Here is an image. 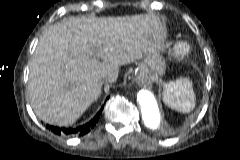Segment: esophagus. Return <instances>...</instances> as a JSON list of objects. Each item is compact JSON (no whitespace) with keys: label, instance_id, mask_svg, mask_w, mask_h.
I'll return each mask as SVG.
<instances>
[{"label":"esophagus","instance_id":"1","mask_svg":"<svg viewBox=\"0 0 240 160\" xmlns=\"http://www.w3.org/2000/svg\"><path fill=\"white\" fill-rule=\"evenodd\" d=\"M137 83L138 85L144 86V87H150L152 85L151 80L145 75L138 76Z\"/></svg>","mask_w":240,"mask_h":160}]
</instances>
